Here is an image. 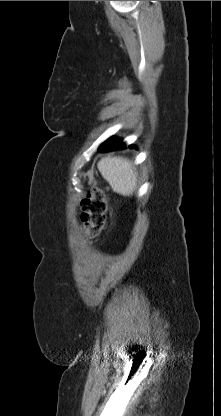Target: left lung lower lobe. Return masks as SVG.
Wrapping results in <instances>:
<instances>
[{"instance_id": "left-lung-lower-lobe-1", "label": "left lung lower lobe", "mask_w": 221, "mask_h": 416, "mask_svg": "<svg viewBox=\"0 0 221 416\" xmlns=\"http://www.w3.org/2000/svg\"><path fill=\"white\" fill-rule=\"evenodd\" d=\"M124 147H125V144H123L121 140L110 139L106 141L105 143H103L99 147L98 151L102 153V152L113 151V150L124 148ZM129 147H132V146H129Z\"/></svg>"}]
</instances>
